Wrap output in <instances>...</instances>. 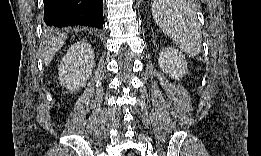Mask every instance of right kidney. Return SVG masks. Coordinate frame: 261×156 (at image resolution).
<instances>
[{"mask_svg": "<svg viewBox=\"0 0 261 156\" xmlns=\"http://www.w3.org/2000/svg\"><path fill=\"white\" fill-rule=\"evenodd\" d=\"M94 52L87 42L73 44L63 57L59 70L60 84L71 93L84 87L92 75Z\"/></svg>", "mask_w": 261, "mask_h": 156, "instance_id": "obj_1", "label": "right kidney"}]
</instances>
